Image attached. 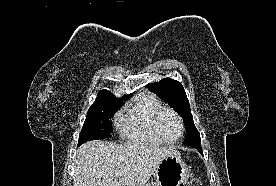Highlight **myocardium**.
<instances>
[{
	"instance_id": "obj_1",
	"label": "myocardium",
	"mask_w": 276,
	"mask_h": 186,
	"mask_svg": "<svg viewBox=\"0 0 276 186\" xmlns=\"http://www.w3.org/2000/svg\"><path fill=\"white\" fill-rule=\"evenodd\" d=\"M171 113L173 114L176 119L178 120L179 122V125H180V128H181V132L179 134V136L174 139V140H168L166 139L163 134L161 133L160 131V128H159V120L161 118V116L164 114V113ZM152 127H153V131L155 133V135L163 142V143H166V144H175L177 143L178 141H180L184 135V132H185V125H184V121L182 119V117L180 116V114L174 110L173 108H170V107H162L161 109H159L154 117H153V120H152Z\"/></svg>"
}]
</instances>
